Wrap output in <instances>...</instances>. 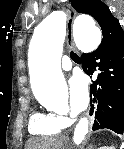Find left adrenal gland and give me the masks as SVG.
Returning <instances> with one entry per match:
<instances>
[{
  "label": "left adrenal gland",
  "instance_id": "left-adrenal-gland-1",
  "mask_svg": "<svg viewBox=\"0 0 124 149\" xmlns=\"http://www.w3.org/2000/svg\"><path fill=\"white\" fill-rule=\"evenodd\" d=\"M89 149H94V147H90Z\"/></svg>",
  "mask_w": 124,
  "mask_h": 149
}]
</instances>
